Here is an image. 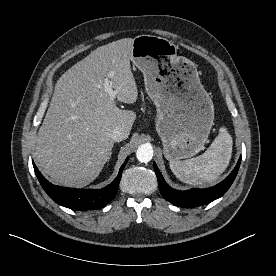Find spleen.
I'll list each match as a JSON object with an SVG mask.
<instances>
[{"mask_svg": "<svg viewBox=\"0 0 276 276\" xmlns=\"http://www.w3.org/2000/svg\"><path fill=\"white\" fill-rule=\"evenodd\" d=\"M232 137L225 127L210 147L200 156L184 161L172 160L169 165L174 175L182 182L200 185L217 179L227 168L232 155Z\"/></svg>", "mask_w": 276, "mask_h": 276, "instance_id": "1", "label": "spleen"}]
</instances>
